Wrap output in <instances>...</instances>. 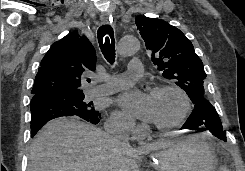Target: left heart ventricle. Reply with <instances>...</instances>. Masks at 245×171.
<instances>
[{
    "label": "left heart ventricle",
    "mask_w": 245,
    "mask_h": 171,
    "mask_svg": "<svg viewBox=\"0 0 245 171\" xmlns=\"http://www.w3.org/2000/svg\"><path fill=\"white\" fill-rule=\"evenodd\" d=\"M154 111V123L166 124L174 120L182 109V102L177 94L166 91L151 94Z\"/></svg>",
    "instance_id": "b2bd125f"
}]
</instances>
